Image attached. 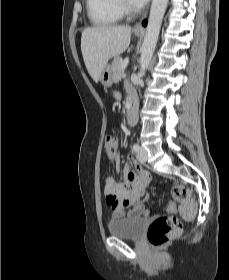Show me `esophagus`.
<instances>
[{
  "label": "esophagus",
  "mask_w": 229,
  "mask_h": 280,
  "mask_svg": "<svg viewBox=\"0 0 229 280\" xmlns=\"http://www.w3.org/2000/svg\"><path fill=\"white\" fill-rule=\"evenodd\" d=\"M146 15H147V10L144 12V14L142 15L141 19L134 26V30L135 31L143 30L142 22L145 19Z\"/></svg>",
  "instance_id": "34e87169"
}]
</instances>
